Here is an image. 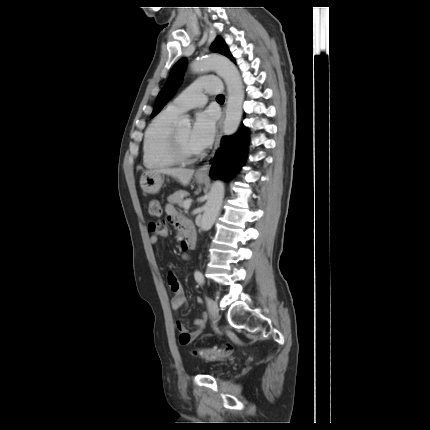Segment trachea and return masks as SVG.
Returning a JSON list of instances; mask_svg holds the SVG:
<instances>
[{"label":"trachea","mask_w":430,"mask_h":430,"mask_svg":"<svg viewBox=\"0 0 430 430\" xmlns=\"http://www.w3.org/2000/svg\"><path fill=\"white\" fill-rule=\"evenodd\" d=\"M216 99H217V100H224V99H225V97H224V95H218V96L216 97Z\"/></svg>","instance_id":"obj_1"}]
</instances>
